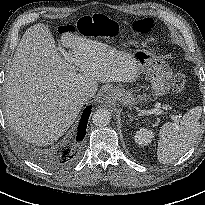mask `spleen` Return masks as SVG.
<instances>
[{
  "instance_id": "obj_1",
  "label": "spleen",
  "mask_w": 205,
  "mask_h": 205,
  "mask_svg": "<svg viewBox=\"0 0 205 205\" xmlns=\"http://www.w3.org/2000/svg\"><path fill=\"white\" fill-rule=\"evenodd\" d=\"M200 106L190 109L180 122H167L159 131L157 158L170 163L186 153L195 143L200 131Z\"/></svg>"
}]
</instances>
